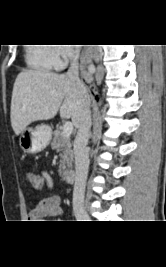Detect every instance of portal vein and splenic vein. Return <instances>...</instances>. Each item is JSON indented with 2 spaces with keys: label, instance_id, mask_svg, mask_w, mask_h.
<instances>
[{
  "label": "portal vein and splenic vein",
  "instance_id": "1",
  "mask_svg": "<svg viewBox=\"0 0 166 267\" xmlns=\"http://www.w3.org/2000/svg\"><path fill=\"white\" fill-rule=\"evenodd\" d=\"M72 131H73V123L66 121L63 125V131H62L63 135L69 137Z\"/></svg>",
  "mask_w": 166,
  "mask_h": 267
}]
</instances>
